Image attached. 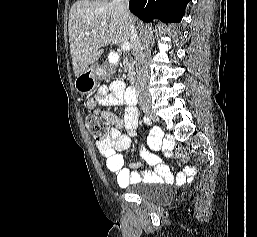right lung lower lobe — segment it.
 <instances>
[{
	"label": "right lung lower lobe",
	"instance_id": "98d812e1",
	"mask_svg": "<svg viewBox=\"0 0 257 237\" xmlns=\"http://www.w3.org/2000/svg\"><path fill=\"white\" fill-rule=\"evenodd\" d=\"M189 0H130V11L142 21L159 19L166 23H179Z\"/></svg>",
	"mask_w": 257,
	"mask_h": 237
}]
</instances>
